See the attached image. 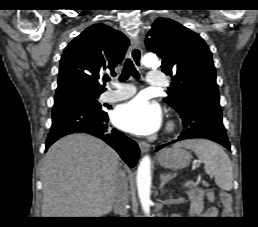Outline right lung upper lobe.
<instances>
[{
	"label": "right lung upper lobe",
	"instance_id": "cb5924a9",
	"mask_svg": "<svg viewBox=\"0 0 258 227\" xmlns=\"http://www.w3.org/2000/svg\"><path fill=\"white\" fill-rule=\"evenodd\" d=\"M129 46L128 38L104 24L84 30L66 47L59 67L57 92L68 89L105 91L99 82L104 71L114 73Z\"/></svg>",
	"mask_w": 258,
	"mask_h": 227
}]
</instances>
